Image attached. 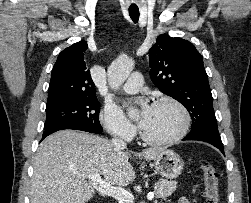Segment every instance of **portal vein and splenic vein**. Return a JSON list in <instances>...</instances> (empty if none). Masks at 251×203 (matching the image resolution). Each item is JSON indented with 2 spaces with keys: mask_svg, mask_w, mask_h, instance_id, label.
Returning <instances> with one entry per match:
<instances>
[{
  "mask_svg": "<svg viewBox=\"0 0 251 203\" xmlns=\"http://www.w3.org/2000/svg\"><path fill=\"white\" fill-rule=\"evenodd\" d=\"M89 179L90 184L100 193L112 196L119 200L121 203H133L134 196L127 190L119 187H114L101 179L100 174L81 175ZM154 198V192H150L147 195L148 200Z\"/></svg>",
  "mask_w": 251,
  "mask_h": 203,
  "instance_id": "obj_1",
  "label": "portal vein and splenic vein"
}]
</instances>
